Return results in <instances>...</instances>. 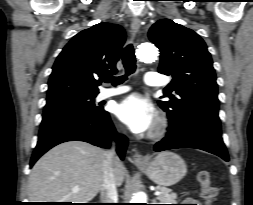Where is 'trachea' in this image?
<instances>
[{"label": "trachea", "instance_id": "obj_1", "mask_svg": "<svg viewBox=\"0 0 253 205\" xmlns=\"http://www.w3.org/2000/svg\"><path fill=\"white\" fill-rule=\"evenodd\" d=\"M122 60L125 68V75L120 77H113L111 75L104 77L103 81L106 83H112L114 86L123 83L127 76L133 74L136 71V58L132 44H128L122 52Z\"/></svg>", "mask_w": 253, "mask_h": 205}]
</instances>
